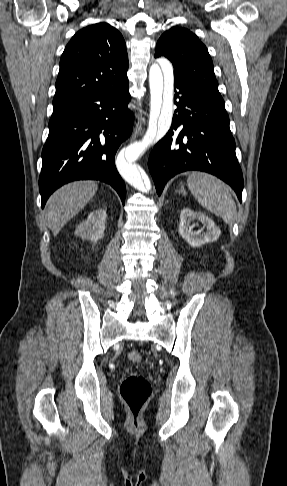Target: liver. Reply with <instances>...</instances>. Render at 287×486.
Returning a JSON list of instances; mask_svg holds the SVG:
<instances>
[{
    "label": "liver",
    "mask_w": 287,
    "mask_h": 486,
    "mask_svg": "<svg viewBox=\"0 0 287 486\" xmlns=\"http://www.w3.org/2000/svg\"><path fill=\"white\" fill-rule=\"evenodd\" d=\"M97 189L93 181H76L64 185L50 196L44 214L54 236L87 205Z\"/></svg>",
    "instance_id": "obj_1"
}]
</instances>
